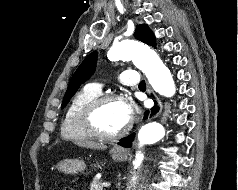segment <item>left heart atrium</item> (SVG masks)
<instances>
[{"instance_id":"39dd6f15","label":"left heart atrium","mask_w":238,"mask_h":190,"mask_svg":"<svg viewBox=\"0 0 238 190\" xmlns=\"http://www.w3.org/2000/svg\"><path fill=\"white\" fill-rule=\"evenodd\" d=\"M124 109L127 117L130 119L134 112V105L130 101H123Z\"/></svg>"}]
</instances>
